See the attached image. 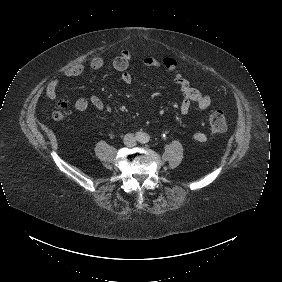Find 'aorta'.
I'll use <instances>...</instances> for the list:
<instances>
[{
  "label": "aorta",
  "mask_w": 282,
  "mask_h": 282,
  "mask_svg": "<svg viewBox=\"0 0 282 282\" xmlns=\"http://www.w3.org/2000/svg\"><path fill=\"white\" fill-rule=\"evenodd\" d=\"M149 140H150L149 134L143 133V132H141V133L138 134V141H139V142H141V143H147V142H149Z\"/></svg>",
  "instance_id": "1"
}]
</instances>
